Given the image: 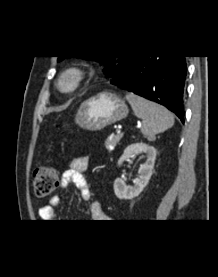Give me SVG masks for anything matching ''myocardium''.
Returning <instances> with one entry per match:
<instances>
[{"label": "myocardium", "instance_id": "1", "mask_svg": "<svg viewBox=\"0 0 218 277\" xmlns=\"http://www.w3.org/2000/svg\"><path fill=\"white\" fill-rule=\"evenodd\" d=\"M88 76V71L81 65H70L64 68L56 80V87L61 93L76 91Z\"/></svg>", "mask_w": 218, "mask_h": 277}]
</instances>
